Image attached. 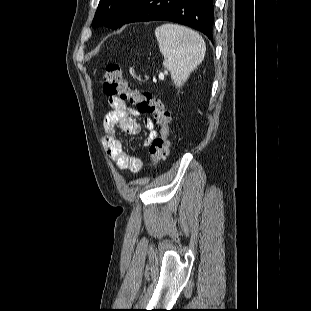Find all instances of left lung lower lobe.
Wrapping results in <instances>:
<instances>
[{
	"instance_id": "0a47b994",
	"label": "left lung lower lobe",
	"mask_w": 311,
	"mask_h": 311,
	"mask_svg": "<svg viewBox=\"0 0 311 311\" xmlns=\"http://www.w3.org/2000/svg\"><path fill=\"white\" fill-rule=\"evenodd\" d=\"M157 20L189 26L213 40V0H133L117 28L127 23Z\"/></svg>"
}]
</instances>
